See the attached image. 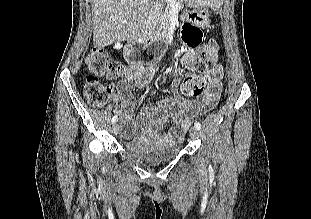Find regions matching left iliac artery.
<instances>
[{"label": "left iliac artery", "mask_w": 311, "mask_h": 219, "mask_svg": "<svg viewBox=\"0 0 311 219\" xmlns=\"http://www.w3.org/2000/svg\"><path fill=\"white\" fill-rule=\"evenodd\" d=\"M195 128H197L198 130L201 129V124L199 122H195L194 124Z\"/></svg>", "instance_id": "44dca946"}]
</instances>
